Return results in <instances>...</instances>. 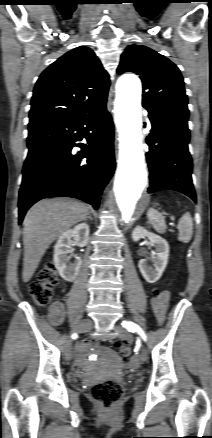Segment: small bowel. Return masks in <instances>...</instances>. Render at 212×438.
I'll return each instance as SVG.
<instances>
[{
  "label": "small bowel",
  "instance_id": "c3829d8e",
  "mask_svg": "<svg viewBox=\"0 0 212 438\" xmlns=\"http://www.w3.org/2000/svg\"><path fill=\"white\" fill-rule=\"evenodd\" d=\"M169 300H170V293L168 291L160 292L158 296L152 297L151 299V305L159 324H162L165 320L169 306ZM64 317H65L64 305L61 302H54L49 309V314H48L49 322L52 325L57 326L63 321ZM88 347H89L88 344H83L82 346H80L78 364L75 366L76 371H78L81 368L85 360Z\"/></svg>",
  "mask_w": 212,
  "mask_h": 438
}]
</instances>
